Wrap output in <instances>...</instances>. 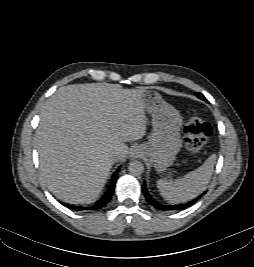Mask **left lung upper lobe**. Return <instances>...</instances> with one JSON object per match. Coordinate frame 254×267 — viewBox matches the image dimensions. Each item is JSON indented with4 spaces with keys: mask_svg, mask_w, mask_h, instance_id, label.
I'll return each instance as SVG.
<instances>
[{
    "mask_svg": "<svg viewBox=\"0 0 254 267\" xmlns=\"http://www.w3.org/2000/svg\"><path fill=\"white\" fill-rule=\"evenodd\" d=\"M196 96L199 97L200 99H202V100L208 102V100H206V98H205L202 94H200V93H196Z\"/></svg>",
    "mask_w": 254,
    "mask_h": 267,
    "instance_id": "left-lung-upper-lobe-1",
    "label": "left lung upper lobe"
}]
</instances>
